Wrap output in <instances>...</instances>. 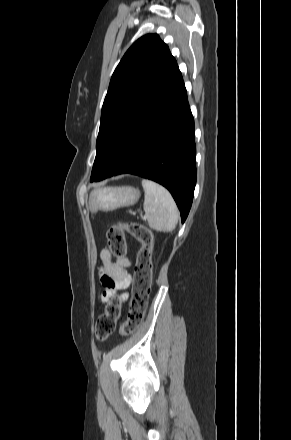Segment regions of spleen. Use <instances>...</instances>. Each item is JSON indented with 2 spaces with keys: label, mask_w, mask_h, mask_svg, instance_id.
Listing matches in <instances>:
<instances>
[{
  "label": "spleen",
  "mask_w": 291,
  "mask_h": 440,
  "mask_svg": "<svg viewBox=\"0 0 291 440\" xmlns=\"http://www.w3.org/2000/svg\"><path fill=\"white\" fill-rule=\"evenodd\" d=\"M145 191L144 211L150 228L156 231L172 232L178 222L177 205L167 189L154 181L143 179Z\"/></svg>",
  "instance_id": "1"
}]
</instances>
